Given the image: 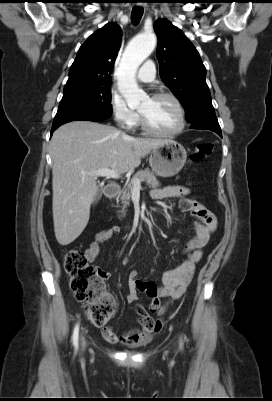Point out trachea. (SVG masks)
I'll return each instance as SVG.
<instances>
[{
	"label": "trachea",
	"mask_w": 272,
	"mask_h": 401,
	"mask_svg": "<svg viewBox=\"0 0 272 401\" xmlns=\"http://www.w3.org/2000/svg\"><path fill=\"white\" fill-rule=\"evenodd\" d=\"M143 12H144V10H143V8L142 7H134L133 9H132V12H131V20H132V23L134 24V25H137L139 22H140V20H141V18H142V15H143Z\"/></svg>",
	"instance_id": "trachea-1"
}]
</instances>
